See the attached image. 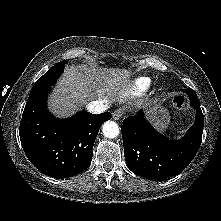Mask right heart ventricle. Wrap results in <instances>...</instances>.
Wrapping results in <instances>:
<instances>
[{
  "mask_svg": "<svg viewBox=\"0 0 221 221\" xmlns=\"http://www.w3.org/2000/svg\"><path fill=\"white\" fill-rule=\"evenodd\" d=\"M151 84V79L146 76L135 78L127 88L128 95H138L146 91Z\"/></svg>",
  "mask_w": 221,
  "mask_h": 221,
  "instance_id": "e07e8e85",
  "label": "right heart ventricle"
}]
</instances>
